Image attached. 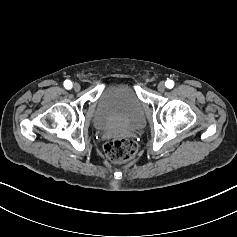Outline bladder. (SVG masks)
<instances>
[{
	"label": "bladder",
	"instance_id": "31cf9c89",
	"mask_svg": "<svg viewBox=\"0 0 237 237\" xmlns=\"http://www.w3.org/2000/svg\"><path fill=\"white\" fill-rule=\"evenodd\" d=\"M144 119L145 104L131 84L116 83L102 91L94 115L97 128H137Z\"/></svg>",
	"mask_w": 237,
	"mask_h": 237
}]
</instances>
